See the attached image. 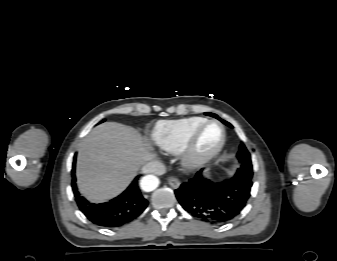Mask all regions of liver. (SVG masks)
<instances>
[{"label":"liver","mask_w":337,"mask_h":261,"mask_svg":"<svg viewBox=\"0 0 337 261\" xmlns=\"http://www.w3.org/2000/svg\"><path fill=\"white\" fill-rule=\"evenodd\" d=\"M152 158L150 146L137 131L115 122L101 124L79 143V190L92 202L110 199L122 192Z\"/></svg>","instance_id":"6515ba94"}]
</instances>
